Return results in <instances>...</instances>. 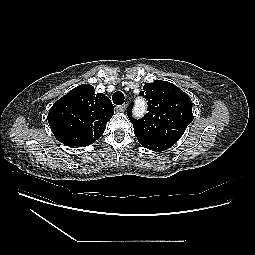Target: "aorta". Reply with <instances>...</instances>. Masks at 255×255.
Masks as SVG:
<instances>
[{
	"instance_id": "obj_1",
	"label": "aorta",
	"mask_w": 255,
	"mask_h": 255,
	"mask_svg": "<svg viewBox=\"0 0 255 255\" xmlns=\"http://www.w3.org/2000/svg\"><path fill=\"white\" fill-rule=\"evenodd\" d=\"M136 112L137 114L141 115L145 111V104L143 102H139L136 106Z\"/></svg>"
}]
</instances>
